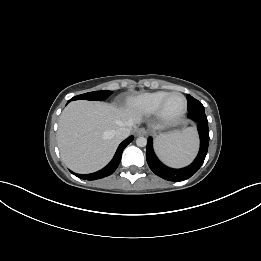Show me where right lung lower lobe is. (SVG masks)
I'll return each instance as SVG.
<instances>
[{
  "label": "right lung lower lobe",
  "mask_w": 261,
  "mask_h": 261,
  "mask_svg": "<svg viewBox=\"0 0 261 261\" xmlns=\"http://www.w3.org/2000/svg\"><path fill=\"white\" fill-rule=\"evenodd\" d=\"M133 139H134V137L131 136L128 139H126L125 141H123L119 145V147H118L113 159L111 160V162L106 167H104L103 169H101V170H99L95 173H91V174H75L73 172L72 173L75 174L78 178H81L83 180H97V179H101V178H104L106 176L111 175L116 170V168L118 167V165L121 161L122 152H123L124 148L130 142H132Z\"/></svg>",
  "instance_id": "obj_1"
}]
</instances>
